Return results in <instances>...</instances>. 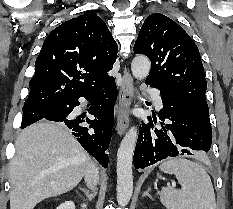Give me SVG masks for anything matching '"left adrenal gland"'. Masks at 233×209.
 Instances as JSON below:
<instances>
[{
  "label": "left adrenal gland",
  "mask_w": 233,
  "mask_h": 209,
  "mask_svg": "<svg viewBox=\"0 0 233 209\" xmlns=\"http://www.w3.org/2000/svg\"><path fill=\"white\" fill-rule=\"evenodd\" d=\"M149 191H150V188H148V189L146 190V192H144V194H143L142 196H143V197H144V196H148L150 199H152L151 195L149 194Z\"/></svg>",
  "instance_id": "a2214340"
}]
</instances>
